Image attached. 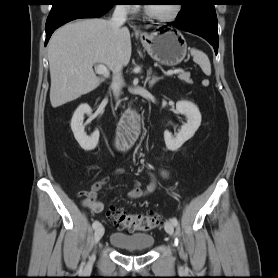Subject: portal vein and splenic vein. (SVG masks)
I'll use <instances>...</instances> for the list:
<instances>
[{"label": "portal vein and splenic vein", "instance_id": "1", "mask_svg": "<svg viewBox=\"0 0 278 278\" xmlns=\"http://www.w3.org/2000/svg\"><path fill=\"white\" fill-rule=\"evenodd\" d=\"M92 64H95L92 62ZM95 70H96V73L98 74H101V75H104L105 77H108L109 76V70L108 68L103 65V64H98V65H95ZM182 72V69H174V70H169L165 73V75L167 76H171L173 74H177V73H181Z\"/></svg>", "mask_w": 278, "mask_h": 278}]
</instances>
